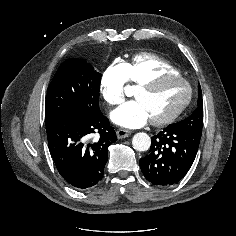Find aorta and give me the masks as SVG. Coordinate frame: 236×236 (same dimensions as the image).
<instances>
[{
    "mask_svg": "<svg viewBox=\"0 0 236 236\" xmlns=\"http://www.w3.org/2000/svg\"><path fill=\"white\" fill-rule=\"evenodd\" d=\"M133 148L137 151H147L151 145V138L144 132L135 134L132 138Z\"/></svg>",
    "mask_w": 236,
    "mask_h": 236,
    "instance_id": "762f6f07",
    "label": "aorta"
}]
</instances>
